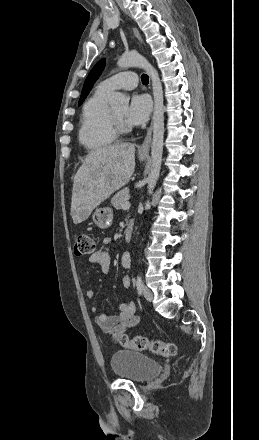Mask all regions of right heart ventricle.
I'll use <instances>...</instances> for the list:
<instances>
[{
	"label": "right heart ventricle",
	"instance_id": "1",
	"mask_svg": "<svg viewBox=\"0 0 259 440\" xmlns=\"http://www.w3.org/2000/svg\"><path fill=\"white\" fill-rule=\"evenodd\" d=\"M109 95L98 88L83 105L78 139L89 152L101 151L116 141L117 134L112 126L108 105Z\"/></svg>",
	"mask_w": 259,
	"mask_h": 440
}]
</instances>
